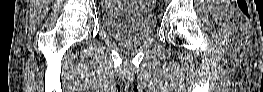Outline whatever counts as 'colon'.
I'll use <instances>...</instances> for the list:
<instances>
[{
    "label": "colon",
    "instance_id": "colon-1",
    "mask_svg": "<svg viewBox=\"0 0 263 92\" xmlns=\"http://www.w3.org/2000/svg\"><path fill=\"white\" fill-rule=\"evenodd\" d=\"M145 2H154V1H145Z\"/></svg>",
    "mask_w": 263,
    "mask_h": 92
}]
</instances>
